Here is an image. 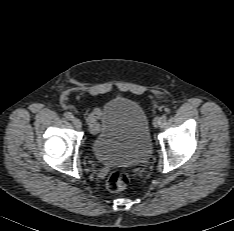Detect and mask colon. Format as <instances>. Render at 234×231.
Returning a JSON list of instances; mask_svg holds the SVG:
<instances>
[{"mask_svg":"<svg viewBox=\"0 0 234 231\" xmlns=\"http://www.w3.org/2000/svg\"><path fill=\"white\" fill-rule=\"evenodd\" d=\"M129 176L123 170H113L107 177L106 186L112 192H119L126 188Z\"/></svg>","mask_w":234,"mask_h":231,"instance_id":"colon-1","label":"colon"}]
</instances>
